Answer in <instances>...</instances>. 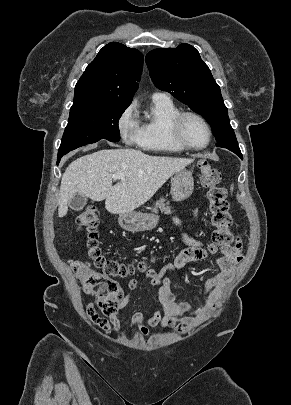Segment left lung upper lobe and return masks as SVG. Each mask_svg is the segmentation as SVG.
<instances>
[{
  "mask_svg": "<svg viewBox=\"0 0 291 405\" xmlns=\"http://www.w3.org/2000/svg\"><path fill=\"white\" fill-rule=\"evenodd\" d=\"M146 63L156 87L171 93L207 120L216 146L234 153L240 151L220 87L197 49L185 43L176 48L155 49L146 55Z\"/></svg>",
  "mask_w": 291,
  "mask_h": 405,
  "instance_id": "obj_1",
  "label": "left lung upper lobe"
}]
</instances>
